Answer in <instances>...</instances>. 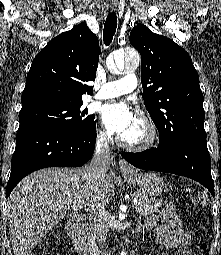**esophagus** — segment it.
Returning a JSON list of instances; mask_svg holds the SVG:
<instances>
[{"instance_id": "1", "label": "esophagus", "mask_w": 221, "mask_h": 255, "mask_svg": "<svg viewBox=\"0 0 221 255\" xmlns=\"http://www.w3.org/2000/svg\"><path fill=\"white\" fill-rule=\"evenodd\" d=\"M119 168L122 172H130L133 168L124 160L119 161Z\"/></svg>"}]
</instances>
